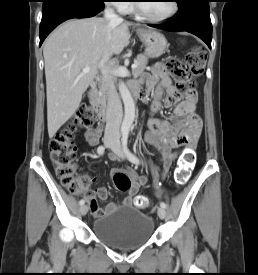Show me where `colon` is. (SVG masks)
I'll return each instance as SVG.
<instances>
[{"label": "colon", "mask_w": 258, "mask_h": 275, "mask_svg": "<svg viewBox=\"0 0 258 275\" xmlns=\"http://www.w3.org/2000/svg\"><path fill=\"white\" fill-rule=\"evenodd\" d=\"M205 61L206 56L198 47H193L184 59L171 58L167 61V69L177 78L178 90L187 92L195 89L196 79L203 74ZM93 118V111L89 107H80L71 121L65 124L49 143L50 159L56 174L61 183L73 192L92 181L88 176L78 178L76 175V145L73 137L78 128H90ZM193 163V152L189 149L180 158L175 170L174 181L177 185H184L188 181ZM113 181L122 192H128L131 188V180L125 173L116 172ZM135 205L144 209L149 205V200L145 196H138L135 198Z\"/></svg>", "instance_id": "obj_1"}]
</instances>
